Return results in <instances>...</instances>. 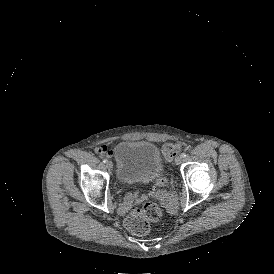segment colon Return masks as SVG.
Here are the masks:
<instances>
[{
  "instance_id": "colon-1",
  "label": "colon",
  "mask_w": 274,
  "mask_h": 274,
  "mask_svg": "<svg viewBox=\"0 0 274 274\" xmlns=\"http://www.w3.org/2000/svg\"><path fill=\"white\" fill-rule=\"evenodd\" d=\"M176 145L171 141H167L163 143L161 150L166 157L173 159L177 157L179 153L178 149L182 151L189 149L191 142L189 138L182 136L178 138ZM166 182L167 181L164 178H161L158 180L157 184L159 186H164ZM162 216L163 211L160 206L152 200H146L136 211L125 218L124 227L135 236H143L149 232L151 225L158 222Z\"/></svg>"
}]
</instances>
